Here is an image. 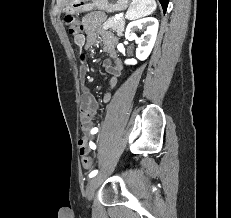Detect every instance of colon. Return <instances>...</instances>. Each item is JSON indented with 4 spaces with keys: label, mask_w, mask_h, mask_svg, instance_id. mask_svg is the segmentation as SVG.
I'll return each instance as SVG.
<instances>
[{
    "label": "colon",
    "mask_w": 231,
    "mask_h": 218,
    "mask_svg": "<svg viewBox=\"0 0 231 218\" xmlns=\"http://www.w3.org/2000/svg\"><path fill=\"white\" fill-rule=\"evenodd\" d=\"M65 24L68 28L69 34L73 37L81 35L84 29L83 24L77 18L70 15L65 17ZM81 56L84 55L82 54ZM81 161L85 169H90L93 165L92 159L86 153H81Z\"/></svg>",
    "instance_id": "colon-1"
}]
</instances>
